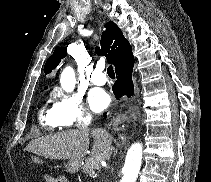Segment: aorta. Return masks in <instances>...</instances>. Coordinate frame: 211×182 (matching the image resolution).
Instances as JSON below:
<instances>
[{
    "label": "aorta",
    "instance_id": "762f6f07",
    "mask_svg": "<svg viewBox=\"0 0 211 182\" xmlns=\"http://www.w3.org/2000/svg\"><path fill=\"white\" fill-rule=\"evenodd\" d=\"M60 84L66 92H72L75 84V72L71 67H66L60 76ZM142 161V145L134 143L129 148L123 168L124 175L120 182H136Z\"/></svg>",
    "mask_w": 211,
    "mask_h": 182
}]
</instances>
